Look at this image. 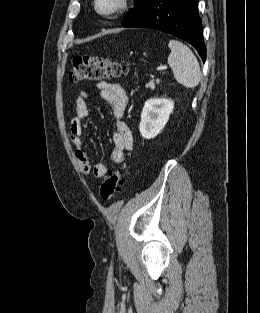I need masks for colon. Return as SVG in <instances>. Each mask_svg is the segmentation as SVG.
<instances>
[{
    "label": "colon",
    "mask_w": 260,
    "mask_h": 313,
    "mask_svg": "<svg viewBox=\"0 0 260 313\" xmlns=\"http://www.w3.org/2000/svg\"><path fill=\"white\" fill-rule=\"evenodd\" d=\"M127 68L116 60L103 59L91 56H76L72 60L69 72L71 82L97 81L113 79L127 73ZM127 178V173L115 170L109 174L100 186V197L109 201L114 196L119 186Z\"/></svg>",
    "instance_id": "colon-1"
}]
</instances>
